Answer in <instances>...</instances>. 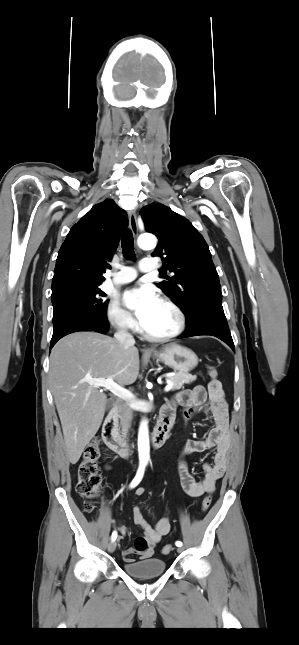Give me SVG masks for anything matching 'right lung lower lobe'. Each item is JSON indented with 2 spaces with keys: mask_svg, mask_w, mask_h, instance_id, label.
Returning <instances> with one entry per match:
<instances>
[{
  "mask_svg": "<svg viewBox=\"0 0 299 645\" xmlns=\"http://www.w3.org/2000/svg\"><path fill=\"white\" fill-rule=\"evenodd\" d=\"M108 329L109 323L107 320L102 321L93 318L81 319L63 327L57 332H53L50 348H52L59 339L70 333L78 331H96L105 334Z\"/></svg>",
  "mask_w": 299,
  "mask_h": 645,
  "instance_id": "right-lung-lower-lobe-1",
  "label": "right lung lower lobe"
}]
</instances>
